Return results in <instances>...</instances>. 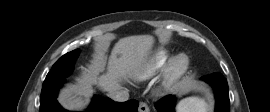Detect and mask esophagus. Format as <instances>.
<instances>
[{"label": "esophagus", "mask_w": 270, "mask_h": 112, "mask_svg": "<svg viewBox=\"0 0 270 112\" xmlns=\"http://www.w3.org/2000/svg\"><path fill=\"white\" fill-rule=\"evenodd\" d=\"M138 111L139 112H149V107L145 102H140Z\"/></svg>", "instance_id": "1"}]
</instances>
